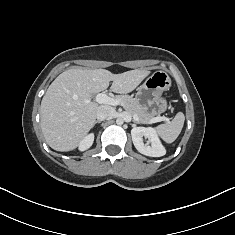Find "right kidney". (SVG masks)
Returning a JSON list of instances; mask_svg holds the SVG:
<instances>
[{"mask_svg":"<svg viewBox=\"0 0 235 235\" xmlns=\"http://www.w3.org/2000/svg\"><path fill=\"white\" fill-rule=\"evenodd\" d=\"M93 141H94V134L91 133L87 136H85L81 142L79 143V150L80 151H85L87 150L88 148L91 147V145L93 144Z\"/></svg>","mask_w":235,"mask_h":235,"instance_id":"ca27d5eb","label":"right kidney"}]
</instances>
